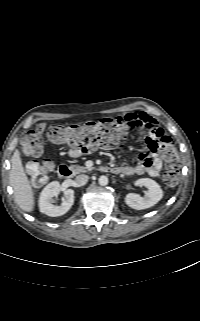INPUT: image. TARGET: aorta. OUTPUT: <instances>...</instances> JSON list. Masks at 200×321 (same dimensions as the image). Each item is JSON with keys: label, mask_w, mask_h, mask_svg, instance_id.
<instances>
[{"label": "aorta", "mask_w": 200, "mask_h": 321, "mask_svg": "<svg viewBox=\"0 0 200 321\" xmlns=\"http://www.w3.org/2000/svg\"><path fill=\"white\" fill-rule=\"evenodd\" d=\"M98 182L101 186H106L108 184V177L107 176H100Z\"/></svg>", "instance_id": "aorta-1"}]
</instances>
